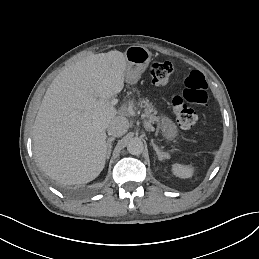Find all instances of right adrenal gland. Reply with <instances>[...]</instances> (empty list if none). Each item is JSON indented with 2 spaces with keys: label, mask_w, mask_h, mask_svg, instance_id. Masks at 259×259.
Instances as JSON below:
<instances>
[{
  "label": "right adrenal gland",
  "mask_w": 259,
  "mask_h": 259,
  "mask_svg": "<svg viewBox=\"0 0 259 259\" xmlns=\"http://www.w3.org/2000/svg\"><path fill=\"white\" fill-rule=\"evenodd\" d=\"M113 140H114L113 137H108V139H107L108 154L110 153V150H111V143H112Z\"/></svg>",
  "instance_id": "obj_1"
}]
</instances>
